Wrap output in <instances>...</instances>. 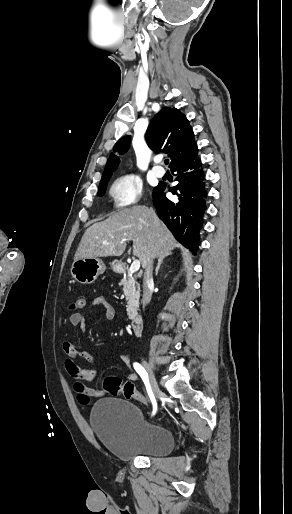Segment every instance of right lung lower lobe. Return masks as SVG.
<instances>
[{"label":"right lung lower lobe","instance_id":"1","mask_svg":"<svg viewBox=\"0 0 292 514\" xmlns=\"http://www.w3.org/2000/svg\"><path fill=\"white\" fill-rule=\"evenodd\" d=\"M171 171L176 172L175 180L179 182L167 189L174 198H166V184L160 182L152 193L153 204L159 218L176 239L192 252H196L207 209V188L202 163L196 154L175 165Z\"/></svg>","mask_w":292,"mask_h":514}]
</instances>
